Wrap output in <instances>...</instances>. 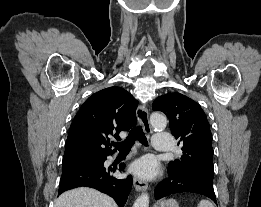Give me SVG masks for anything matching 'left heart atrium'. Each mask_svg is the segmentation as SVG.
Listing matches in <instances>:
<instances>
[{
	"instance_id": "39dd6f15",
	"label": "left heart atrium",
	"mask_w": 261,
	"mask_h": 207,
	"mask_svg": "<svg viewBox=\"0 0 261 207\" xmlns=\"http://www.w3.org/2000/svg\"><path fill=\"white\" fill-rule=\"evenodd\" d=\"M131 172L143 179H151L158 172V164L152 156H144L131 166Z\"/></svg>"
}]
</instances>
